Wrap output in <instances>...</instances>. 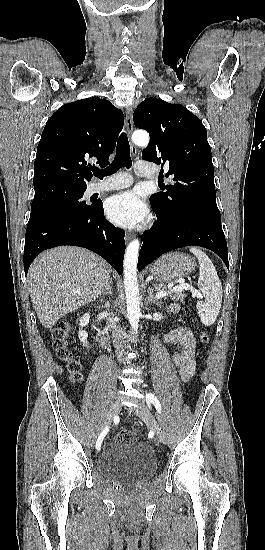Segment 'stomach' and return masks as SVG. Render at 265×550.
Returning <instances> with one entry per match:
<instances>
[{"instance_id": "0dacf381", "label": "stomach", "mask_w": 265, "mask_h": 550, "mask_svg": "<svg viewBox=\"0 0 265 550\" xmlns=\"http://www.w3.org/2000/svg\"><path fill=\"white\" fill-rule=\"evenodd\" d=\"M194 258L171 252L160 257L152 266L151 274L161 282H170L189 275L195 268Z\"/></svg>"}]
</instances>
